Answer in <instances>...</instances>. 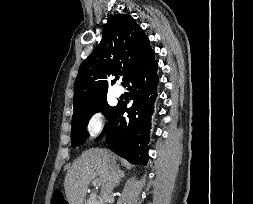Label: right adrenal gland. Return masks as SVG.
I'll return each mask as SVG.
<instances>
[{"label": "right adrenal gland", "instance_id": "obj_1", "mask_svg": "<svg viewBox=\"0 0 253 204\" xmlns=\"http://www.w3.org/2000/svg\"><path fill=\"white\" fill-rule=\"evenodd\" d=\"M125 177V172L121 170L119 167L117 168V182H116V187L119 185L121 178Z\"/></svg>", "mask_w": 253, "mask_h": 204}]
</instances>
